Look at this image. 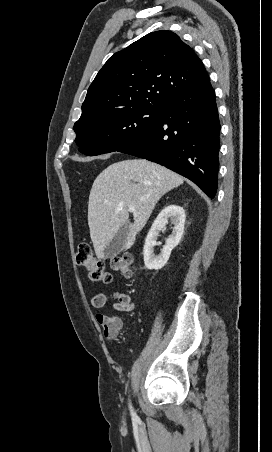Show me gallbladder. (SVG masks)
<instances>
[{"label":"gallbladder","mask_w":272,"mask_h":452,"mask_svg":"<svg viewBox=\"0 0 272 452\" xmlns=\"http://www.w3.org/2000/svg\"><path fill=\"white\" fill-rule=\"evenodd\" d=\"M129 233V222L127 221L114 235L105 248L106 257L117 255L124 247Z\"/></svg>","instance_id":"obj_1"}]
</instances>
